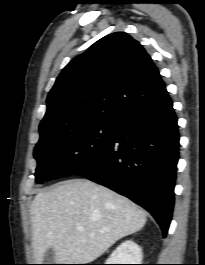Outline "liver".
<instances>
[{
	"instance_id": "1",
	"label": "liver",
	"mask_w": 205,
	"mask_h": 265,
	"mask_svg": "<svg viewBox=\"0 0 205 265\" xmlns=\"http://www.w3.org/2000/svg\"><path fill=\"white\" fill-rule=\"evenodd\" d=\"M146 221L141 208L104 186L83 179L64 181L32 201L35 261L41 264L52 248L58 264H88Z\"/></svg>"
}]
</instances>
